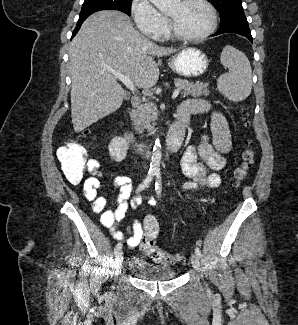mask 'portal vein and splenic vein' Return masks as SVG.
Here are the masks:
<instances>
[{
    "label": "portal vein and splenic vein",
    "mask_w": 298,
    "mask_h": 325,
    "mask_svg": "<svg viewBox=\"0 0 298 325\" xmlns=\"http://www.w3.org/2000/svg\"><path fill=\"white\" fill-rule=\"evenodd\" d=\"M113 74H115V76H117V78H119V80H121V82H123L127 88H130V90H133V92H137L136 86H134L130 76H126V74H120V72H113ZM179 92L180 88H175L174 92H172L171 98H177Z\"/></svg>",
    "instance_id": "18ae733b"
}]
</instances>
